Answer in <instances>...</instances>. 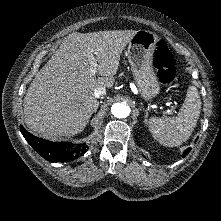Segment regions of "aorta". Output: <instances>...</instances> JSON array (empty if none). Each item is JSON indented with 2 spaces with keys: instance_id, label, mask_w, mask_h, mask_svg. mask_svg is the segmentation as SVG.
<instances>
[{
  "instance_id": "obj_1",
  "label": "aorta",
  "mask_w": 221,
  "mask_h": 221,
  "mask_svg": "<svg viewBox=\"0 0 221 221\" xmlns=\"http://www.w3.org/2000/svg\"><path fill=\"white\" fill-rule=\"evenodd\" d=\"M111 112L116 118H126L130 114V107L124 103H115Z\"/></svg>"
}]
</instances>
